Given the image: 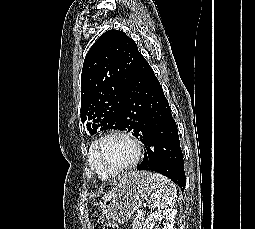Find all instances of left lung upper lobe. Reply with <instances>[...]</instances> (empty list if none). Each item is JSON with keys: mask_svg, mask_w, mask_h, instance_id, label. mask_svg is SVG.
I'll use <instances>...</instances> for the list:
<instances>
[{"mask_svg": "<svg viewBox=\"0 0 255 229\" xmlns=\"http://www.w3.org/2000/svg\"><path fill=\"white\" fill-rule=\"evenodd\" d=\"M142 54L123 31L108 30L86 54L81 74V120L91 134L126 130L121 117L126 89Z\"/></svg>", "mask_w": 255, "mask_h": 229, "instance_id": "obj_1", "label": "left lung upper lobe"}]
</instances>
